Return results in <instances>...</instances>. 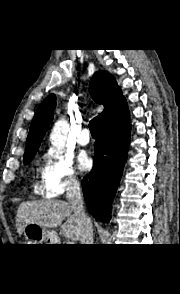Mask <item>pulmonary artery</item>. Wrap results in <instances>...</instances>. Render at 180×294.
Returning <instances> with one entry per match:
<instances>
[{"mask_svg": "<svg viewBox=\"0 0 180 294\" xmlns=\"http://www.w3.org/2000/svg\"><path fill=\"white\" fill-rule=\"evenodd\" d=\"M77 141L81 145H87L90 142V135L88 129H83L77 136Z\"/></svg>", "mask_w": 180, "mask_h": 294, "instance_id": "pulmonary-artery-1", "label": "pulmonary artery"}]
</instances>
